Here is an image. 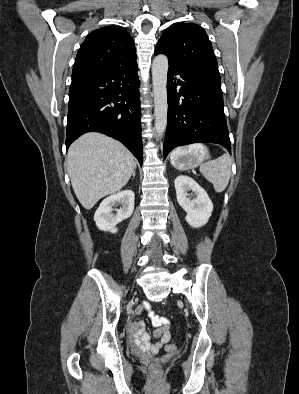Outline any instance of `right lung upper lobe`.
Instances as JSON below:
<instances>
[{
    "label": "right lung upper lobe",
    "instance_id": "right-lung-upper-lobe-1",
    "mask_svg": "<svg viewBox=\"0 0 299 394\" xmlns=\"http://www.w3.org/2000/svg\"><path fill=\"white\" fill-rule=\"evenodd\" d=\"M136 49L129 33L119 26L99 28L82 43L72 76L136 63Z\"/></svg>",
    "mask_w": 299,
    "mask_h": 394
}]
</instances>
